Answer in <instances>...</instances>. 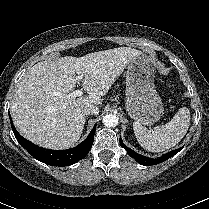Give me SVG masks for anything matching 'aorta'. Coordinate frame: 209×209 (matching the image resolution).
Returning <instances> with one entry per match:
<instances>
[{"instance_id": "1", "label": "aorta", "mask_w": 209, "mask_h": 209, "mask_svg": "<svg viewBox=\"0 0 209 209\" xmlns=\"http://www.w3.org/2000/svg\"><path fill=\"white\" fill-rule=\"evenodd\" d=\"M102 122L106 127H116L118 125L119 118L115 114H107L103 117Z\"/></svg>"}]
</instances>
